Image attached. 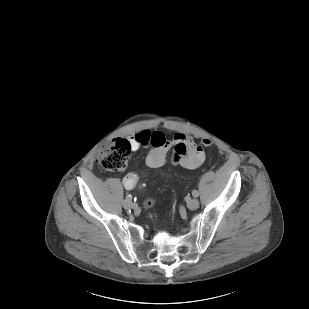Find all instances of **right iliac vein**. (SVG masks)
<instances>
[{
    "label": "right iliac vein",
    "instance_id": "obj_1",
    "mask_svg": "<svg viewBox=\"0 0 309 309\" xmlns=\"http://www.w3.org/2000/svg\"><path fill=\"white\" fill-rule=\"evenodd\" d=\"M123 206L127 209L135 208L136 204L132 200H127V198L123 201Z\"/></svg>",
    "mask_w": 309,
    "mask_h": 309
}]
</instances>
